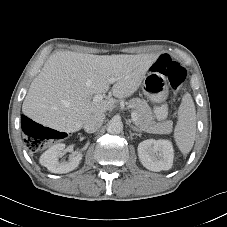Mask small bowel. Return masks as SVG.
<instances>
[{
  "label": "small bowel",
  "instance_id": "c3829d8e",
  "mask_svg": "<svg viewBox=\"0 0 227 227\" xmlns=\"http://www.w3.org/2000/svg\"><path fill=\"white\" fill-rule=\"evenodd\" d=\"M172 108V103L170 101H158L156 103V116L159 118V119H163L166 117V110H170Z\"/></svg>",
  "mask_w": 227,
  "mask_h": 227
}]
</instances>
